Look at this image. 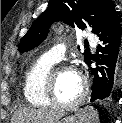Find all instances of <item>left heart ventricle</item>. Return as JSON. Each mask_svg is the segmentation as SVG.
<instances>
[{"instance_id":"b2bd125f","label":"left heart ventricle","mask_w":122,"mask_h":123,"mask_svg":"<svg viewBox=\"0 0 122 123\" xmlns=\"http://www.w3.org/2000/svg\"><path fill=\"white\" fill-rule=\"evenodd\" d=\"M82 78L75 70L68 69L59 71L56 76V96L61 101L74 99L81 91Z\"/></svg>"}]
</instances>
